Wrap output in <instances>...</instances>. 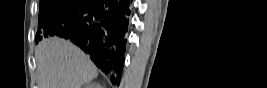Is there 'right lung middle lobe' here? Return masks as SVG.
<instances>
[{"label":"right lung middle lobe","mask_w":267,"mask_h":88,"mask_svg":"<svg viewBox=\"0 0 267 88\" xmlns=\"http://www.w3.org/2000/svg\"><path fill=\"white\" fill-rule=\"evenodd\" d=\"M84 0H40L39 22L40 29L36 35V41L45 36L46 27L54 20L68 15L76 9ZM42 29V30H41Z\"/></svg>","instance_id":"1"}]
</instances>
